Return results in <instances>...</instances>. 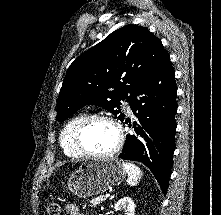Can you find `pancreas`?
Returning a JSON list of instances; mask_svg holds the SVG:
<instances>
[{"mask_svg": "<svg viewBox=\"0 0 221 215\" xmlns=\"http://www.w3.org/2000/svg\"><path fill=\"white\" fill-rule=\"evenodd\" d=\"M103 201H105V198L103 196L96 197L90 201V206L96 207L97 205L101 204Z\"/></svg>", "mask_w": 221, "mask_h": 215, "instance_id": "obj_1", "label": "pancreas"}]
</instances>
